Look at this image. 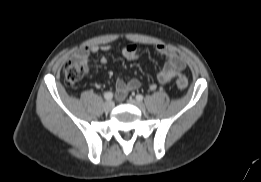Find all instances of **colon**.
<instances>
[{"instance_id":"obj_1","label":"colon","mask_w":261,"mask_h":182,"mask_svg":"<svg viewBox=\"0 0 261 182\" xmlns=\"http://www.w3.org/2000/svg\"><path fill=\"white\" fill-rule=\"evenodd\" d=\"M64 81L68 86H74L78 83L82 75V67L76 61L68 62L63 69ZM188 80L185 76L179 75L176 78V86L180 89L186 88Z\"/></svg>"}]
</instances>
